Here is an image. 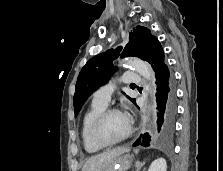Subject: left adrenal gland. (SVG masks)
<instances>
[{"mask_svg": "<svg viewBox=\"0 0 223 171\" xmlns=\"http://www.w3.org/2000/svg\"><path fill=\"white\" fill-rule=\"evenodd\" d=\"M145 162H140V161H137L135 163V168H136V171H140V169L144 166Z\"/></svg>", "mask_w": 223, "mask_h": 171, "instance_id": "obj_1", "label": "left adrenal gland"}]
</instances>
